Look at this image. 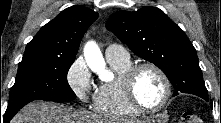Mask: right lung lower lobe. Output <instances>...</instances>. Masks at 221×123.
Instances as JSON below:
<instances>
[{"label": "right lung lower lobe", "instance_id": "obj_1", "mask_svg": "<svg viewBox=\"0 0 221 123\" xmlns=\"http://www.w3.org/2000/svg\"><path fill=\"white\" fill-rule=\"evenodd\" d=\"M13 116H14V115H10V116L4 115V117H5V119H6L7 121H10V119H11Z\"/></svg>", "mask_w": 221, "mask_h": 123}]
</instances>
